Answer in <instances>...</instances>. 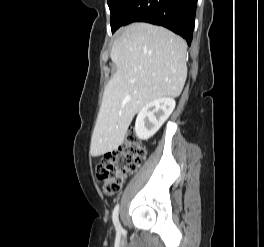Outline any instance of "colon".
I'll list each match as a JSON object with an SVG mask.
<instances>
[{
  "mask_svg": "<svg viewBox=\"0 0 264 247\" xmlns=\"http://www.w3.org/2000/svg\"><path fill=\"white\" fill-rule=\"evenodd\" d=\"M145 156V146L129 132L118 149L107 153L96 166V177L103 183L105 194L120 192L124 181L137 170Z\"/></svg>",
  "mask_w": 264,
  "mask_h": 247,
  "instance_id": "1",
  "label": "colon"
}]
</instances>
